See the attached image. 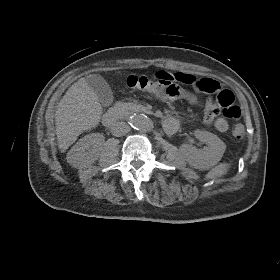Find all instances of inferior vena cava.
Returning <instances> with one entry per match:
<instances>
[{
    "label": "inferior vena cava",
    "mask_w": 280,
    "mask_h": 280,
    "mask_svg": "<svg viewBox=\"0 0 280 280\" xmlns=\"http://www.w3.org/2000/svg\"><path fill=\"white\" fill-rule=\"evenodd\" d=\"M130 131L129 126L125 122H115L111 126V132L114 136L120 137Z\"/></svg>",
    "instance_id": "1"
}]
</instances>
